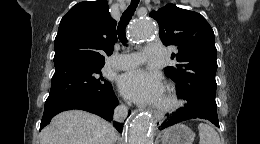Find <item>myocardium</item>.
I'll use <instances>...</instances> for the list:
<instances>
[{
	"label": "myocardium",
	"mask_w": 260,
	"mask_h": 144,
	"mask_svg": "<svg viewBox=\"0 0 260 144\" xmlns=\"http://www.w3.org/2000/svg\"><path fill=\"white\" fill-rule=\"evenodd\" d=\"M180 106V101L175 90L172 87H167L165 91L164 101L158 105V110L161 112H171Z\"/></svg>",
	"instance_id": "f54148a6"
}]
</instances>
